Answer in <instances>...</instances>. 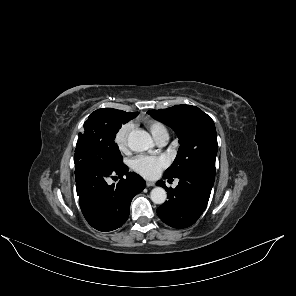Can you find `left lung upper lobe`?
Instances as JSON below:
<instances>
[{
    "instance_id": "obj_1",
    "label": "left lung upper lobe",
    "mask_w": 296,
    "mask_h": 296,
    "mask_svg": "<svg viewBox=\"0 0 296 296\" xmlns=\"http://www.w3.org/2000/svg\"><path fill=\"white\" fill-rule=\"evenodd\" d=\"M147 113L173 128L179 138L177 156L165 171V177L177 178L199 169L215 171L218 144L215 125L210 116L191 105H176L149 110Z\"/></svg>"
}]
</instances>
